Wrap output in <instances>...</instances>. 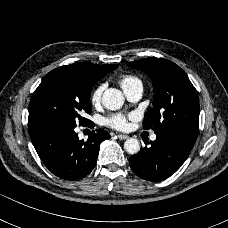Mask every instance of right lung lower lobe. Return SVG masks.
Here are the masks:
<instances>
[{
	"label": "right lung lower lobe",
	"instance_id": "obj_1",
	"mask_svg": "<svg viewBox=\"0 0 228 228\" xmlns=\"http://www.w3.org/2000/svg\"><path fill=\"white\" fill-rule=\"evenodd\" d=\"M75 127L63 122L29 127L30 138L45 166L59 178L71 181L82 179L93 170L101 142L111 137L97 129L87 141L79 140Z\"/></svg>",
	"mask_w": 228,
	"mask_h": 228
}]
</instances>
